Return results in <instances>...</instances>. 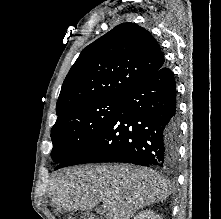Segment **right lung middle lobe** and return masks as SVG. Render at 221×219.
<instances>
[{"instance_id": "1", "label": "right lung middle lobe", "mask_w": 221, "mask_h": 219, "mask_svg": "<svg viewBox=\"0 0 221 219\" xmlns=\"http://www.w3.org/2000/svg\"><path fill=\"white\" fill-rule=\"evenodd\" d=\"M121 98H102L79 104L60 115L51 130V159L61 164L86 147L105 127Z\"/></svg>"}]
</instances>
